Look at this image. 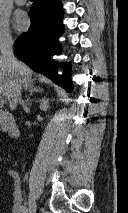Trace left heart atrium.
<instances>
[{"mask_svg":"<svg viewBox=\"0 0 128 213\" xmlns=\"http://www.w3.org/2000/svg\"><path fill=\"white\" fill-rule=\"evenodd\" d=\"M14 26L18 31H25L29 26V18L28 15L19 11L14 16Z\"/></svg>","mask_w":128,"mask_h":213,"instance_id":"1","label":"left heart atrium"}]
</instances>
